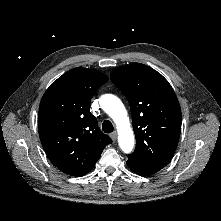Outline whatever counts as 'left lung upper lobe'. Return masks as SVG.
<instances>
[{"label": "left lung upper lobe", "mask_w": 221, "mask_h": 221, "mask_svg": "<svg viewBox=\"0 0 221 221\" xmlns=\"http://www.w3.org/2000/svg\"><path fill=\"white\" fill-rule=\"evenodd\" d=\"M110 78L131 109L136 148L128 158L157 170L164 168L181 132V109L174 90L160 73L141 63L118 67Z\"/></svg>", "instance_id": "obj_1"}]
</instances>
